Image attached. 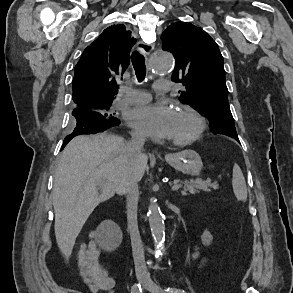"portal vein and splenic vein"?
Instances as JSON below:
<instances>
[{"label":"portal vein and splenic vein","instance_id":"18ae733b","mask_svg":"<svg viewBox=\"0 0 293 293\" xmlns=\"http://www.w3.org/2000/svg\"><path fill=\"white\" fill-rule=\"evenodd\" d=\"M180 188V186L178 184H175L171 187L172 191H177Z\"/></svg>","mask_w":293,"mask_h":293}]
</instances>
